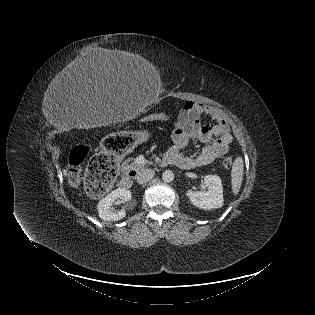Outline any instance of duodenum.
<instances>
[{
	"label": "duodenum",
	"mask_w": 315,
	"mask_h": 315,
	"mask_svg": "<svg viewBox=\"0 0 315 315\" xmlns=\"http://www.w3.org/2000/svg\"><path fill=\"white\" fill-rule=\"evenodd\" d=\"M165 163H167L165 161ZM136 175V172L134 170H126L121 179L118 182V186L121 188H129L131 186L132 178Z\"/></svg>",
	"instance_id": "1"
}]
</instances>
